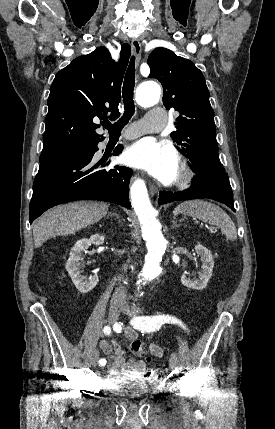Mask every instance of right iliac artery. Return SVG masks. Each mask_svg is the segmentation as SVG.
Segmentation results:
<instances>
[{"instance_id": "right-iliac-artery-1", "label": "right iliac artery", "mask_w": 275, "mask_h": 429, "mask_svg": "<svg viewBox=\"0 0 275 429\" xmlns=\"http://www.w3.org/2000/svg\"><path fill=\"white\" fill-rule=\"evenodd\" d=\"M104 334L109 335L111 333V328L109 326H105L103 329ZM106 360L104 358H101L99 360V366H105Z\"/></svg>"}]
</instances>
